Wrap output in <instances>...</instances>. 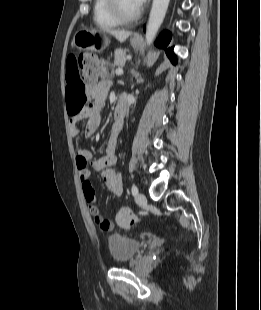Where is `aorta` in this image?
<instances>
[{"label": "aorta", "mask_w": 261, "mask_h": 310, "mask_svg": "<svg viewBox=\"0 0 261 310\" xmlns=\"http://www.w3.org/2000/svg\"><path fill=\"white\" fill-rule=\"evenodd\" d=\"M169 2L170 0H153L145 33L147 45H151L153 43L165 18Z\"/></svg>", "instance_id": "aorta-1"}]
</instances>
